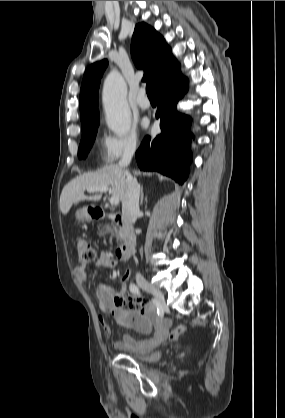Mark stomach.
I'll use <instances>...</instances> for the list:
<instances>
[{
    "mask_svg": "<svg viewBox=\"0 0 285 418\" xmlns=\"http://www.w3.org/2000/svg\"><path fill=\"white\" fill-rule=\"evenodd\" d=\"M76 218L79 221H84L90 218V213L88 212L87 208L79 209L76 212Z\"/></svg>",
    "mask_w": 285,
    "mask_h": 418,
    "instance_id": "obj_1",
    "label": "stomach"
}]
</instances>
